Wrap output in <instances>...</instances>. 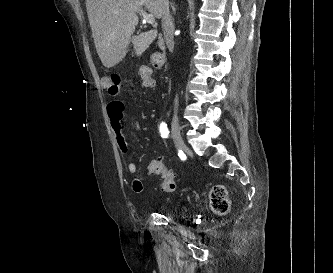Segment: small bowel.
<instances>
[{
    "label": "small bowel",
    "mask_w": 333,
    "mask_h": 273,
    "mask_svg": "<svg viewBox=\"0 0 333 273\" xmlns=\"http://www.w3.org/2000/svg\"><path fill=\"white\" fill-rule=\"evenodd\" d=\"M138 75L139 77H142L144 91H155V82L152 79V77L154 76V71L151 62H142L141 66L139 67ZM106 84L107 82L104 81L105 86ZM123 111H124V104L121 101H113L109 103V105L107 106V113L110 120L111 128L115 134L116 142L121 152L123 154H127L128 144L123 134V124H122ZM135 126L137 129H140V123L138 119L135 121ZM126 167L128 173L130 174H135L137 171V166L133 161H128ZM132 190L136 193L143 192L144 185L140 178L135 177L133 179Z\"/></svg>",
    "instance_id": "c3829d8e"
}]
</instances>
